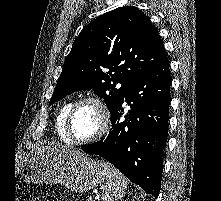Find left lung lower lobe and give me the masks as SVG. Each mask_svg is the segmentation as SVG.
<instances>
[{"mask_svg":"<svg viewBox=\"0 0 221 201\" xmlns=\"http://www.w3.org/2000/svg\"><path fill=\"white\" fill-rule=\"evenodd\" d=\"M171 77L165 57L141 77L111 114L112 131L99 142L82 147L112 163L132 182L158 197L162 155L167 140ZM127 102L125 120L121 121Z\"/></svg>","mask_w":221,"mask_h":201,"instance_id":"1","label":"left lung lower lobe"}]
</instances>
